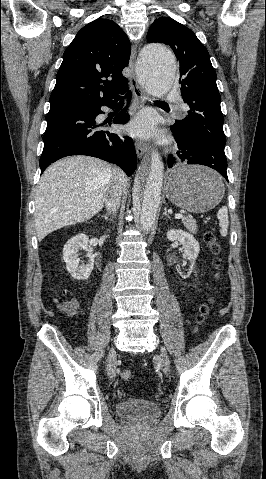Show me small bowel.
<instances>
[{"instance_id": "small-bowel-1", "label": "small bowel", "mask_w": 266, "mask_h": 479, "mask_svg": "<svg viewBox=\"0 0 266 479\" xmlns=\"http://www.w3.org/2000/svg\"><path fill=\"white\" fill-rule=\"evenodd\" d=\"M59 308L63 313L69 316H73L79 312L80 304L77 299H70V300L61 302L59 304Z\"/></svg>"}]
</instances>
